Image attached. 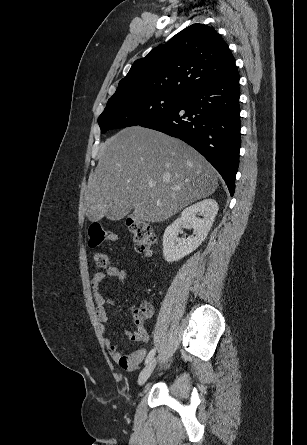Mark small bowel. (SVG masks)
Listing matches in <instances>:
<instances>
[{"instance_id": "obj_1", "label": "small bowel", "mask_w": 307, "mask_h": 445, "mask_svg": "<svg viewBox=\"0 0 307 445\" xmlns=\"http://www.w3.org/2000/svg\"><path fill=\"white\" fill-rule=\"evenodd\" d=\"M129 271L127 269L118 268L112 266L107 269L106 272H97L92 276L91 286L93 289V297L96 303V314L99 321L105 323L108 321L107 306H114L115 302L111 298H106L100 292V285L105 280L106 277L115 278L119 281H124L128 278ZM134 332L126 331L125 335L133 340ZM105 344L107 346L108 352L112 359L118 363V365L128 371H135L138 366L143 362L146 356V350L144 348L137 349L130 355L123 354L117 344L113 343L110 338L105 339Z\"/></svg>"}]
</instances>
